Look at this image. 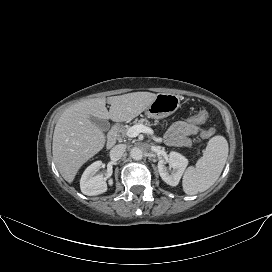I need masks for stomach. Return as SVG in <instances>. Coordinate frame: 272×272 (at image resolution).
<instances>
[{"mask_svg": "<svg viewBox=\"0 0 272 272\" xmlns=\"http://www.w3.org/2000/svg\"><path fill=\"white\" fill-rule=\"evenodd\" d=\"M180 106L179 96L171 93H159L146 109L149 118L161 119L173 114Z\"/></svg>", "mask_w": 272, "mask_h": 272, "instance_id": "obj_1", "label": "stomach"}]
</instances>
